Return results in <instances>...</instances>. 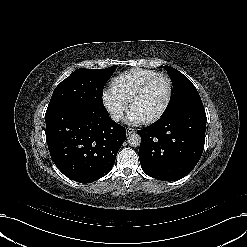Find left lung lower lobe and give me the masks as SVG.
Here are the masks:
<instances>
[{"instance_id": "0a47b994", "label": "left lung lower lobe", "mask_w": 247, "mask_h": 247, "mask_svg": "<svg viewBox=\"0 0 247 247\" xmlns=\"http://www.w3.org/2000/svg\"><path fill=\"white\" fill-rule=\"evenodd\" d=\"M206 122L201 101L138 130L143 171L162 181H177L185 177L202 155Z\"/></svg>"}]
</instances>
